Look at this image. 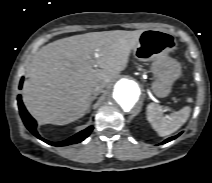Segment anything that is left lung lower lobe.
I'll list each match as a JSON object with an SVG mask.
<instances>
[{"mask_svg":"<svg viewBox=\"0 0 212 183\" xmlns=\"http://www.w3.org/2000/svg\"><path fill=\"white\" fill-rule=\"evenodd\" d=\"M178 136H179V135L174 136V137H170V138L166 139L163 143H167V142H169V141L175 139V138L178 137ZM163 143H162V144H163Z\"/></svg>","mask_w":212,"mask_h":183,"instance_id":"0a47b994","label":"left lung lower lobe"}]
</instances>
